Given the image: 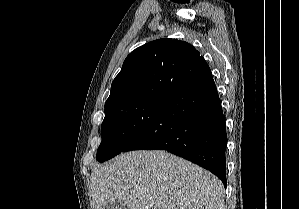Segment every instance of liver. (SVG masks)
Segmentation results:
<instances>
[{"label": "liver", "instance_id": "obj_1", "mask_svg": "<svg viewBox=\"0 0 299 209\" xmlns=\"http://www.w3.org/2000/svg\"><path fill=\"white\" fill-rule=\"evenodd\" d=\"M92 209L119 201L129 209H223L222 182L203 168L163 150L122 153L95 167Z\"/></svg>", "mask_w": 299, "mask_h": 209}]
</instances>
